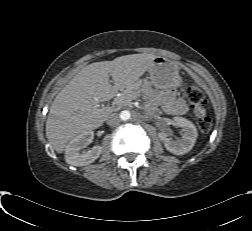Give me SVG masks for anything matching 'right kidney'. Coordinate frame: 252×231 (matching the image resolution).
<instances>
[{"label": "right kidney", "mask_w": 252, "mask_h": 231, "mask_svg": "<svg viewBox=\"0 0 252 231\" xmlns=\"http://www.w3.org/2000/svg\"><path fill=\"white\" fill-rule=\"evenodd\" d=\"M93 138V131H86L73 138L65 149L66 162L73 166H85L99 158L102 153L101 146H94L91 150L83 154L79 153L92 142Z\"/></svg>", "instance_id": "obj_1"}]
</instances>
